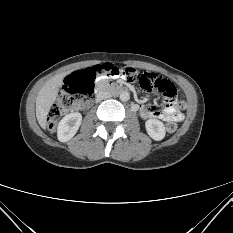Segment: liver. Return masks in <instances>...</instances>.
Masks as SVG:
<instances>
[{
    "label": "liver",
    "mask_w": 233,
    "mask_h": 233,
    "mask_svg": "<svg viewBox=\"0 0 233 233\" xmlns=\"http://www.w3.org/2000/svg\"><path fill=\"white\" fill-rule=\"evenodd\" d=\"M66 75L67 73H62L54 76L48 80L38 92L36 98V117L42 128H46L47 115L56 100L59 86Z\"/></svg>",
    "instance_id": "1"
}]
</instances>
